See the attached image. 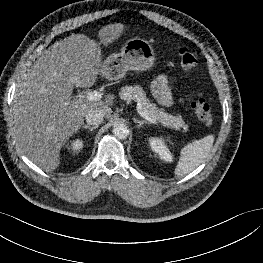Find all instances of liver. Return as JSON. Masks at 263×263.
<instances>
[{
	"label": "liver",
	"mask_w": 263,
	"mask_h": 263,
	"mask_svg": "<svg viewBox=\"0 0 263 263\" xmlns=\"http://www.w3.org/2000/svg\"><path fill=\"white\" fill-rule=\"evenodd\" d=\"M125 26H104L98 33L104 45L117 40ZM102 69L98 45L74 34L51 45L18 84L11 108V126L18 149L35 165L52 172L59 167L60 150L84 123L92 109L111 117L114 95L104 100L72 99L74 86L91 87Z\"/></svg>",
	"instance_id": "obj_1"
}]
</instances>
